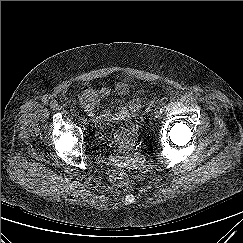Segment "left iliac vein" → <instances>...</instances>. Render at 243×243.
Wrapping results in <instances>:
<instances>
[{
  "label": "left iliac vein",
  "mask_w": 243,
  "mask_h": 243,
  "mask_svg": "<svg viewBox=\"0 0 243 243\" xmlns=\"http://www.w3.org/2000/svg\"><path fill=\"white\" fill-rule=\"evenodd\" d=\"M154 116L156 117V118H159L160 116H161V112L160 111H155L154 112Z\"/></svg>",
  "instance_id": "obj_1"
}]
</instances>
